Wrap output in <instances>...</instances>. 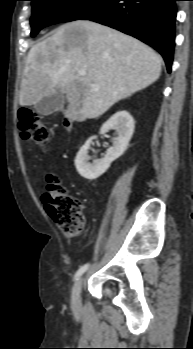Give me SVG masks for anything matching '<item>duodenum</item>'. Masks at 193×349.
<instances>
[{"instance_id":"obj_1","label":"duodenum","mask_w":193,"mask_h":349,"mask_svg":"<svg viewBox=\"0 0 193 349\" xmlns=\"http://www.w3.org/2000/svg\"><path fill=\"white\" fill-rule=\"evenodd\" d=\"M68 125H69V124H68V122H66V123H65V126H67V127H68Z\"/></svg>"}]
</instances>
